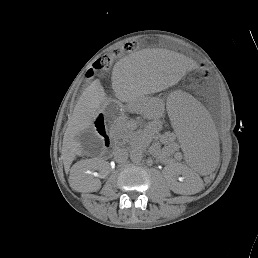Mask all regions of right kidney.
Segmentation results:
<instances>
[{
	"label": "right kidney",
	"instance_id": "1",
	"mask_svg": "<svg viewBox=\"0 0 258 258\" xmlns=\"http://www.w3.org/2000/svg\"><path fill=\"white\" fill-rule=\"evenodd\" d=\"M106 165V162L101 160V159H97L95 164L94 165H89L90 168H93V169H103ZM83 172L86 174V175H89L90 173L88 172V169H84ZM78 172L76 171H73V175H77ZM101 185H100V182H96L95 184H91L90 185V189L89 191H97L98 189H100Z\"/></svg>",
	"mask_w": 258,
	"mask_h": 258
}]
</instances>
